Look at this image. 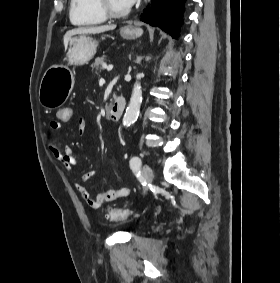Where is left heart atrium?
Returning a JSON list of instances; mask_svg holds the SVG:
<instances>
[{"label": "left heart atrium", "instance_id": "left-heart-atrium-1", "mask_svg": "<svg viewBox=\"0 0 280 283\" xmlns=\"http://www.w3.org/2000/svg\"><path fill=\"white\" fill-rule=\"evenodd\" d=\"M128 6H131L135 3L136 0H124Z\"/></svg>", "mask_w": 280, "mask_h": 283}]
</instances>
